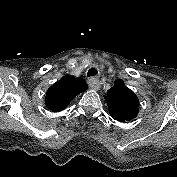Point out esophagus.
Returning a JSON list of instances; mask_svg holds the SVG:
<instances>
[{
	"mask_svg": "<svg viewBox=\"0 0 177 177\" xmlns=\"http://www.w3.org/2000/svg\"><path fill=\"white\" fill-rule=\"evenodd\" d=\"M88 85L93 90H99L100 89V82L97 78L92 77L88 79Z\"/></svg>",
	"mask_w": 177,
	"mask_h": 177,
	"instance_id": "1",
	"label": "esophagus"
}]
</instances>
